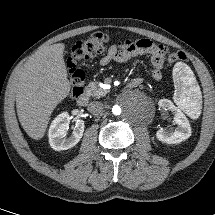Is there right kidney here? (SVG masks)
<instances>
[{"mask_svg":"<svg viewBox=\"0 0 215 215\" xmlns=\"http://www.w3.org/2000/svg\"><path fill=\"white\" fill-rule=\"evenodd\" d=\"M69 120V114L63 112L59 114L50 125L48 132L49 143L56 151L67 150L74 147L83 136L85 125L82 120H79L72 131V135L66 138Z\"/></svg>","mask_w":215,"mask_h":215,"instance_id":"ca27d5eb","label":"right kidney"}]
</instances>
